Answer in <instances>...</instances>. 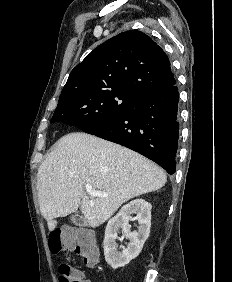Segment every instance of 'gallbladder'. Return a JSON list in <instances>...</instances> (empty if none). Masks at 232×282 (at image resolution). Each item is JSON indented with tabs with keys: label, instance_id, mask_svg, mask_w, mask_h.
I'll return each mask as SVG.
<instances>
[{
	"label": "gallbladder",
	"instance_id": "gallbladder-1",
	"mask_svg": "<svg viewBox=\"0 0 232 282\" xmlns=\"http://www.w3.org/2000/svg\"><path fill=\"white\" fill-rule=\"evenodd\" d=\"M70 220L74 225H77V226H81L85 223V218L82 215H80L78 212L74 213L70 217Z\"/></svg>",
	"mask_w": 232,
	"mask_h": 282
}]
</instances>
